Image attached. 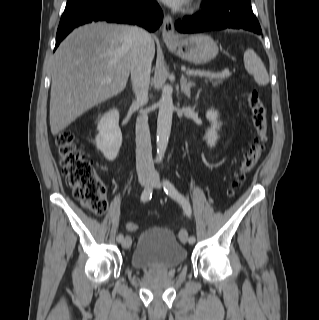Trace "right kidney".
<instances>
[{
	"label": "right kidney",
	"mask_w": 319,
	"mask_h": 320,
	"mask_svg": "<svg viewBox=\"0 0 319 320\" xmlns=\"http://www.w3.org/2000/svg\"><path fill=\"white\" fill-rule=\"evenodd\" d=\"M98 135L96 146L104 157L113 161L116 159L122 145V133L119 128V112L111 109L105 113L97 125Z\"/></svg>",
	"instance_id": "ca27d5eb"
}]
</instances>
